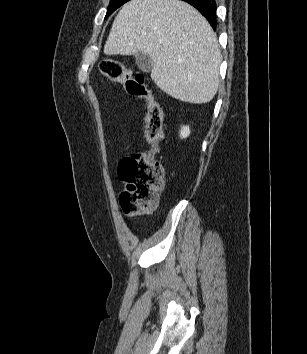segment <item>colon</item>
Here are the masks:
<instances>
[{
	"label": "colon",
	"mask_w": 307,
	"mask_h": 354,
	"mask_svg": "<svg viewBox=\"0 0 307 354\" xmlns=\"http://www.w3.org/2000/svg\"><path fill=\"white\" fill-rule=\"evenodd\" d=\"M99 70L108 80L123 84L131 96L146 102L145 138L149 149L121 160L118 174L126 189L121 193L119 202L123 213L129 217L151 212L158 204V194L163 187L164 169L155 158L163 137L162 110L142 74L134 73L111 57L100 62Z\"/></svg>",
	"instance_id": "1"
}]
</instances>
